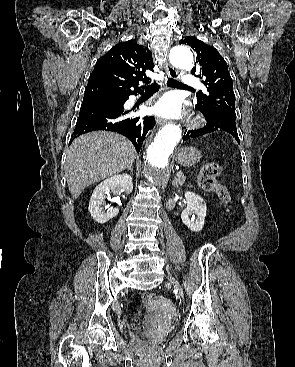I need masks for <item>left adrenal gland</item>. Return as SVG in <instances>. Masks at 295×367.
Returning a JSON list of instances; mask_svg holds the SVG:
<instances>
[{
    "instance_id": "a2214340",
    "label": "left adrenal gland",
    "mask_w": 295,
    "mask_h": 367,
    "mask_svg": "<svg viewBox=\"0 0 295 367\" xmlns=\"http://www.w3.org/2000/svg\"><path fill=\"white\" fill-rule=\"evenodd\" d=\"M174 172V171H173ZM172 184L174 185V187H179L178 186V182H177V178L175 177L174 180L172 181Z\"/></svg>"
}]
</instances>
